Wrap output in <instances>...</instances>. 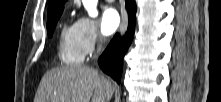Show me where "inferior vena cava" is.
Instances as JSON below:
<instances>
[{
    "label": "inferior vena cava",
    "instance_id": "obj_1",
    "mask_svg": "<svg viewBox=\"0 0 221 102\" xmlns=\"http://www.w3.org/2000/svg\"><path fill=\"white\" fill-rule=\"evenodd\" d=\"M101 51V45H98L97 53L99 54Z\"/></svg>",
    "mask_w": 221,
    "mask_h": 102
}]
</instances>
